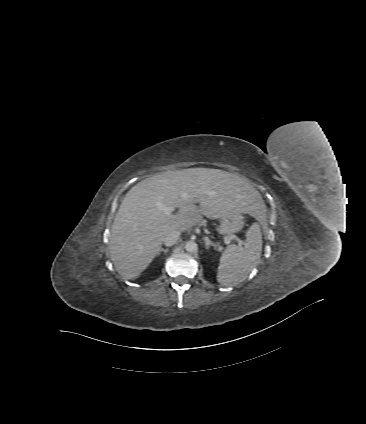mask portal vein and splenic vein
Here are the masks:
<instances>
[{"label":"portal vein and splenic vein","mask_w":366,"mask_h":424,"mask_svg":"<svg viewBox=\"0 0 366 424\" xmlns=\"http://www.w3.org/2000/svg\"><path fill=\"white\" fill-rule=\"evenodd\" d=\"M157 205H158L159 209L162 210L164 212V214H166L167 216L171 215L172 212L175 211V208L174 207L166 206V205H164L162 203H157ZM230 240H236L239 245H242L243 244V241L239 237H237L235 235H231V236L225 238V242H229Z\"/></svg>","instance_id":"portal-vein-and-splenic-vein-1"}]
</instances>
